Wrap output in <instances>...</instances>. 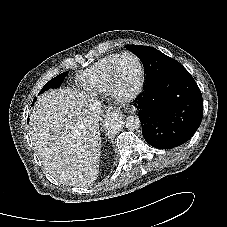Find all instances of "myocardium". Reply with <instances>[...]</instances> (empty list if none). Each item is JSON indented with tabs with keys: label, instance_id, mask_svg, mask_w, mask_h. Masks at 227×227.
Returning <instances> with one entry per match:
<instances>
[{
	"label": "myocardium",
	"instance_id": "1",
	"mask_svg": "<svg viewBox=\"0 0 227 227\" xmlns=\"http://www.w3.org/2000/svg\"><path fill=\"white\" fill-rule=\"evenodd\" d=\"M131 56L135 59L137 62V65L139 67V78L135 85V87L130 92H124L119 87L117 81H116V68L119 63V61L126 57ZM144 79H145V69L142 60L139 56H137L133 52L125 51L117 56L113 64L111 65L108 73V80L110 83V93L119 101L121 102H129L134 100L142 91L143 85H144Z\"/></svg>",
	"mask_w": 227,
	"mask_h": 227
}]
</instances>
